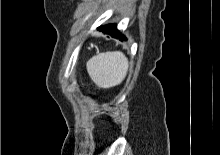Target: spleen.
Masks as SVG:
<instances>
[{
  "instance_id": "3e777b00",
  "label": "spleen",
  "mask_w": 220,
  "mask_h": 155,
  "mask_svg": "<svg viewBox=\"0 0 220 155\" xmlns=\"http://www.w3.org/2000/svg\"><path fill=\"white\" fill-rule=\"evenodd\" d=\"M87 71L99 88H112L125 79L128 60L120 51L99 53L87 62Z\"/></svg>"
}]
</instances>
